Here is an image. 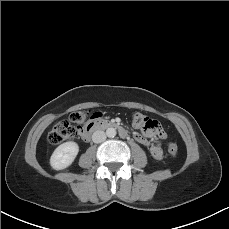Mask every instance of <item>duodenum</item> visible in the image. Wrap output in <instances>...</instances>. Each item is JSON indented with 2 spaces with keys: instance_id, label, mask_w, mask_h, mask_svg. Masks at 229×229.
<instances>
[{
  "instance_id": "1",
  "label": "duodenum",
  "mask_w": 229,
  "mask_h": 229,
  "mask_svg": "<svg viewBox=\"0 0 229 229\" xmlns=\"http://www.w3.org/2000/svg\"><path fill=\"white\" fill-rule=\"evenodd\" d=\"M106 128L117 129L122 137H127V131L122 125H120L116 122H113V121H108V120H104V119H97L88 125V127L86 128V131H85L84 138L87 140V139H89V137L91 136L92 133H94L100 129H106Z\"/></svg>"
}]
</instances>
